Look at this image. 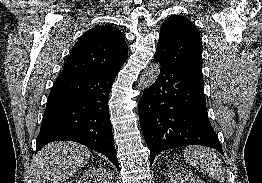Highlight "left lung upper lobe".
<instances>
[{
  "label": "left lung upper lobe",
  "instance_id": "obj_1",
  "mask_svg": "<svg viewBox=\"0 0 262 183\" xmlns=\"http://www.w3.org/2000/svg\"><path fill=\"white\" fill-rule=\"evenodd\" d=\"M201 53L199 30L189 19L172 16L162 24L154 57L203 79Z\"/></svg>",
  "mask_w": 262,
  "mask_h": 183
}]
</instances>
